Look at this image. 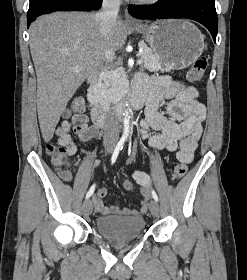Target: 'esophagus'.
Instances as JSON below:
<instances>
[{"label":"esophagus","mask_w":247,"mask_h":280,"mask_svg":"<svg viewBox=\"0 0 247 280\" xmlns=\"http://www.w3.org/2000/svg\"><path fill=\"white\" fill-rule=\"evenodd\" d=\"M125 21L128 24H137V20L133 18L127 11L125 12Z\"/></svg>","instance_id":"34e87169"}]
</instances>
